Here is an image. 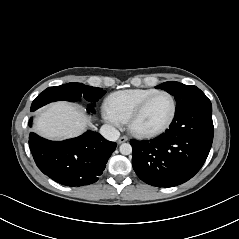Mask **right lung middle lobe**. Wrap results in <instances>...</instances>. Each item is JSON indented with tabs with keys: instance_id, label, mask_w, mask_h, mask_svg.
I'll use <instances>...</instances> for the list:
<instances>
[{
	"instance_id": "right-lung-middle-lobe-1",
	"label": "right lung middle lobe",
	"mask_w": 239,
	"mask_h": 239,
	"mask_svg": "<svg viewBox=\"0 0 239 239\" xmlns=\"http://www.w3.org/2000/svg\"><path fill=\"white\" fill-rule=\"evenodd\" d=\"M105 90L102 88H96L86 86L82 83H67L60 86L49 87L44 90L40 95L32 102L30 111H35L38 108L59 100L75 101L81 98L89 102L88 109L94 112L93 107L104 94Z\"/></svg>"
}]
</instances>
